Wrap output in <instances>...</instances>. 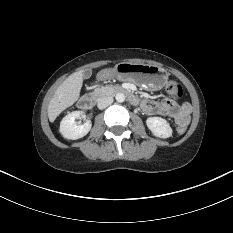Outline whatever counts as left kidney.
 Segmentation results:
<instances>
[{
  "instance_id": "5707ae66",
  "label": "left kidney",
  "mask_w": 233,
  "mask_h": 233,
  "mask_svg": "<svg viewBox=\"0 0 233 233\" xmlns=\"http://www.w3.org/2000/svg\"><path fill=\"white\" fill-rule=\"evenodd\" d=\"M146 125L156 137L166 139L172 136V128L169 123L161 117L147 118Z\"/></svg>"
}]
</instances>
